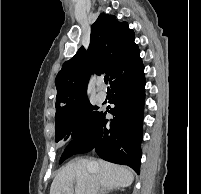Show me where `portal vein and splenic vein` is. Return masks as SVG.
Listing matches in <instances>:
<instances>
[{
	"mask_svg": "<svg viewBox=\"0 0 201 194\" xmlns=\"http://www.w3.org/2000/svg\"><path fill=\"white\" fill-rule=\"evenodd\" d=\"M68 189H69L68 186H66V187L63 188L64 191H66V190H68Z\"/></svg>",
	"mask_w": 201,
	"mask_h": 194,
	"instance_id": "18ae733b",
	"label": "portal vein and splenic vein"
}]
</instances>
